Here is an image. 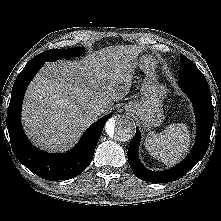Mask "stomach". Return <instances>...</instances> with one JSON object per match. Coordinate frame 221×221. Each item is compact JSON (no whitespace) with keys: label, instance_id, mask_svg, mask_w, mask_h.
I'll list each match as a JSON object with an SVG mask.
<instances>
[{"label":"stomach","instance_id":"stomach-1","mask_svg":"<svg viewBox=\"0 0 221 221\" xmlns=\"http://www.w3.org/2000/svg\"><path fill=\"white\" fill-rule=\"evenodd\" d=\"M156 64V60L150 54L143 53L139 56L137 67L145 74L141 85V97L125 106L126 113L146 129L159 126L165 117L162 107L167 89L156 80Z\"/></svg>","mask_w":221,"mask_h":221}]
</instances>
